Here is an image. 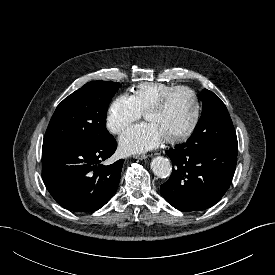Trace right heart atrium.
<instances>
[{"label": "right heart atrium", "instance_id": "right-heart-atrium-1", "mask_svg": "<svg viewBox=\"0 0 275 275\" xmlns=\"http://www.w3.org/2000/svg\"><path fill=\"white\" fill-rule=\"evenodd\" d=\"M141 115L132 97L121 94L111 102L108 108L106 125L111 133L121 134L132 123L139 120Z\"/></svg>", "mask_w": 275, "mask_h": 275}]
</instances>
